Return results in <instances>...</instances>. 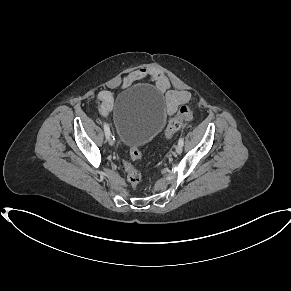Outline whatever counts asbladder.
I'll return each instance as SVG.
<instances>
[{"label":"bladder","instance_id":"obj_1","mask_svg":"<svg viewBox=\"0 0 291 291\" xmlns=\"http://www.w3.org/2000/svg\"><path fill=\"white\" fill-rule=\"evenodd\" d=\"M165 121L161 95L150 86H131L118 96L113 122L123 146L143 147L156 137Z\"/></svg>","mask_w":291,"mask_h":291}]
</instances>
